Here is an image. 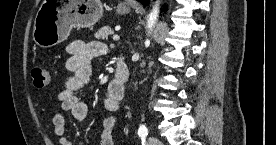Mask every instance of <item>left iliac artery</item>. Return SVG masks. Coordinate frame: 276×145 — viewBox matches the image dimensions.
I'll use <instances>...</instances> for the list:
<instances>
[{
  "mask_svg": "<svg viewBox=\"0 0 276 145\" xmlns=\"http://www.w3.org/2000/svg\"><path fill=\"white\" fill-rule=\"evenodd\" d=\"M138 135L141 138H145L148 135V129H147L146 125H144V124L140 125V127L138 129Z\"/></svg>",
  "mask_w": 276,
  "mask_h": 145,
  "instance_id": "obj_1",
  "label": "left iliac artery"
}]
</instances>
